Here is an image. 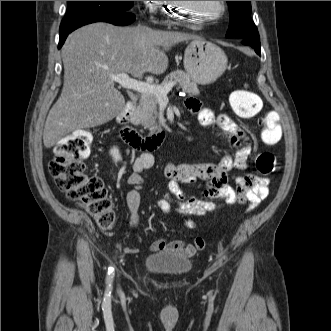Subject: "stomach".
<instances>
[{
	"instance_id": "stomach-1",
	"label": "stomach",
	"mask_w": 331,
	"mask_h": 331,
	"mask_svg": "<svg viewBox=\"0 0 331 331\" xmlns=\"http://www.w3.org/2000/svg\"><path fill=\"white\" fill-rule=\"evenodd\" d=\"M227 56L216 44L194 39L184 52V68L196 83L206 85L217 80L227 68Z\"/></svg>"
}]
</instances>
